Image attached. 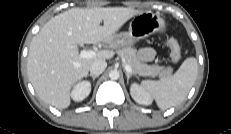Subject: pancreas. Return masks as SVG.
I'll use <instances>...</instances> for the list:
<instances>
[{
    "label": "pancreas",
    "mask_w": 231,
    "mask_h": 134,
    "mask_svg": "<svg viewBox=\"0 0 231 134\" xmlns=\"http://www.w3.org/2000/svg\"><path fill=\"white\" fill-rule=\"evenodd\" d=\"M118 55L132 68V72L139 76L149 77H166L171 75L173 69L171 67H164L159 65H148L138 60L137 50L132 47H124L117 50Z\"/></svg>",
    "instance_id": "obj_1"
}]
</instances>
